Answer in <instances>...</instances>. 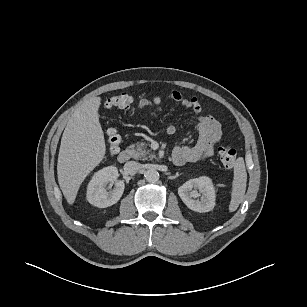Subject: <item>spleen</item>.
<instances>
[{
    "label": "spleen",
    "instance_id": "obj_1",
    "mask_svg": "<svg viewBox=\"0 0 307 307\" xmlns=\"http://www.w3.org/2000/svg\"><path fill=\"white\" fill-rule=\"evenodd\" d=\"M247 173L243 157H239L234 165V175L232 181L231 201L229 212H234L243 202L246 191Z\"/></svg>",
    "mask_w": 307,
    "mask_h": 307
}]
</instances>
